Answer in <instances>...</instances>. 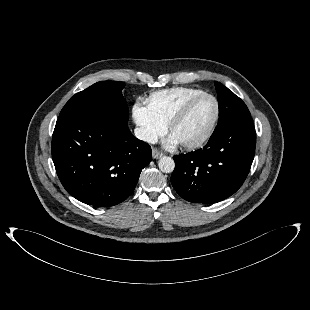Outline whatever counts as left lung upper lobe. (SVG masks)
I'll return each mask as SVG.
<instances>
[{"instance_id":"5c2ea615","label":"left lung upper lobe","mask_w":310,"mask_h":310,"mask_svg":"<svg viewBox=\"0 0 310 310\" xmlns=\"http://www.w3.org/2000/svg\"><path fill=\"white\" fill-rule=\"evenodd\" d=\"M215 87L218 94L219 121L213 134L250 116L245 103L232 91L217 81Z\"/></svg>"}]
</instances>
